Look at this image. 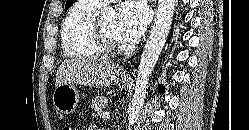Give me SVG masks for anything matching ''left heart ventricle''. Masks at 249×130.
I'll return each instance as SVG.
<instances>
[{
    "label": "left heart ventricle",
    "instance_id": "obj_1",
    "mask_svg": "<svg viewBox=\"0 0 249 130\" xmlns=\"http://www.w3.org/2000/svg\"><path fill=\"white\" fill-rule=\"evenodd\" d=\"M101 26L105 30V32L112 37L114 40L119 41L116 33V24L117 21L114 18L102 19L100 21Z\"/></svg>",
    "mask_w": 249,
    "mask_h": 130
}]
</instances>
